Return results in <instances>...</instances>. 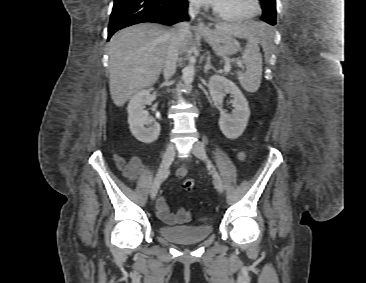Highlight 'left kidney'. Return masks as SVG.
<instances>
[{"mask_svg": "<svg viewBox=\"0 0 366 283\" xmlns=\"http://www.w3.org/2000/svg\"><path fill=\"white\" fill-rule=\"evenodd\" d=\"M209 91L212 101L220 111V130L226 138H238L244 132L250 117L249 105L242 91L231 80L220 75H213L209 79ZM226 93L233 97L234 109L231 114H227L222 108Z\"/></svg>", "mask_w": 366, "mask_h": 283, "instance_id": "obj_1", "label": "left kidney"}]
</instances>
